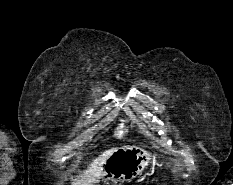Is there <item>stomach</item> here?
<instances>
[{"mask_svg":"<svg viewBox=\"0 0 233 185\" xmlns=\"http://www.w3.org/2000/svg\"><path fill=\"white\" fill-rule=\"evenodd\" d=\"M151 159L149 152L136 146L117 148L104 163L101 178L115 184L130 181L143 172Z\"/></svg>","mask_w":233,"mask_h":185,"instance_id":"1","label":"stomach"}]
</instances>
